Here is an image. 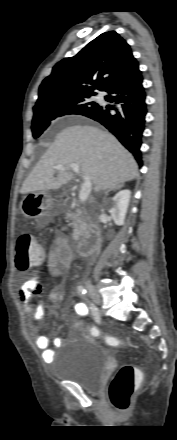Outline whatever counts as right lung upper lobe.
I'll use <instances>...</instances> for the list:
<instances>
[{"instance_id":"obj_1","label":"right lung upper lobe","mask_w":177,"mask_h":440,"mask_svg":"<svg viewBox=\"0 0 177 440\" xmlns=\"http://www.w3.org/2000/svg\"><path fill=\"white\" fill-rule=\"evenodd\" d=\"M138 67L127 42L115 31L105 32L87 44L78 54L58 62L51 75L39 87L34 107L60 97L96 94Z\"/></svg>"}]
</instances>
